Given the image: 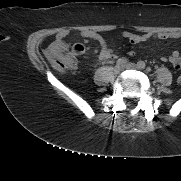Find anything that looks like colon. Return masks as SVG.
Masks as SVG:
<instances>
[{
  "instance_id": "1",
  "label": "colon",
  "mask_w": 181,
  "mask_h": 181,
  "mask_svg": "<svg viewBox=\"0 0 181 181\" xmlns=\"http://www.w3.org/2000/svg\"><path fill=\"white\" fill-rule=\"evenodd\" d=\"M83 52L84 47L78 44L71 51L61 48L51 49L48 51L47 57L56 70L64 72L75 66V57L81 55ZM178 83L181 85V75L178 78Z\"/></svg>"
}]
</instances>
